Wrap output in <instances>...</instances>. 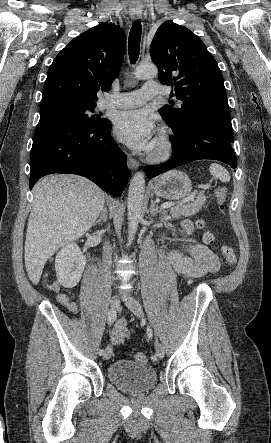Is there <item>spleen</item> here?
<instances>
[{
    "instance_id": "1",
    "label": "spleen",
    "mask_w": 271,
    "mask_h": 443,
    "mask_svg": "<svg viewBox=\"0 0 271 443\" xmlns=\"http://www.w3.org/2000/svg\"><path fill=\"white\" fill-rule=\"evenodd\" d=\"M209 170H210L211 176H215V178H219V180H221V182H230V176H229L227 170H225V168H223V166H220V164H211Z\"/></svg>"
}]
</instances>
